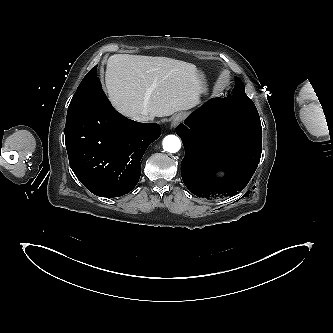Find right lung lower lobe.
Masks as SVG:
<instances>
[{"label":"right lung lower lobe","instance_id":"1","mask_svg":"<svg viewBox=\"0 0 333 333\" xmlns=\"http://www.w3.org/2000/svg\"><path fill=\"white\" fill-rule=\"evenodd\" d=\"M160 134L158 124L135 122L119 114L99 82L82 107L67 113L65 144L70 167L93 194L122 196L138 183L140 160Z\"/></svg>","mask_w":333,"mask_h":333}]
</instances>
